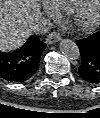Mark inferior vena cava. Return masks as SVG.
<instances>
[{"instance_id":"1","label":"inferior vena cava","mask_w":100,"mask_h":118,"mask_svg":"<svg viewBox=\"0 0 100 118\" xmlns=\"http://www.w3.org/2000/svg\"><path fill=\"white\" fill-rule=\"evenodd\" d=\"M52 28L51 20L45 17H38L30 24L32 32L37 34H43L48 32Z\"/></svg>"}]
</instances>
